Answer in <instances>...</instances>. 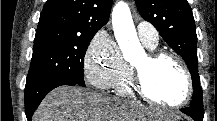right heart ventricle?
Returning <instances> with one entry per match:
<instances>
[{
	"mask_svg": "<svg viewBox=\"0 0 217 121\" xmlns=\"http://www.w3.org/2000/svg\"><path fill=\"white\" fill-rule=\"evenodd\" d=\"M150 50H154L156 46L145 44ZM115 88L116 94L120 96H131L135 94V88L132 80V70L129 65H125V70L121 77L112 86Z\"/></svg>",
	"mask_w": 217,
	"mask_h": 121,
	"instance_id": "1",
	"label": "right heart ventricle"
}]
</instances>
